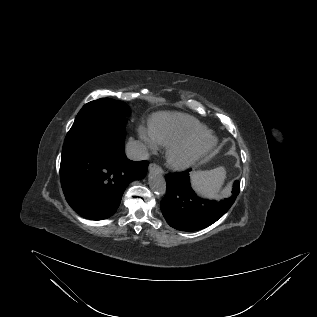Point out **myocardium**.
Wrapping results in <instances>:
<instances>
[{
  "label": "myocardium",
  "instance_id": "obj_1",
  "mask_svg": "<svg viewBox=\"0 0 317 317\" xmlns=\"http://www.w3.org/2000/svg\"><path fill=\"white\" fill-rule=\"evenodd\" d=\"M217 145V138L210 132L185 137L168 147L167 163L174 169L185 170L208 155Z\"/></svg>",
  "mask_w": 317,
  "mask_h": 317
}]
</instances>
